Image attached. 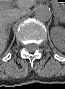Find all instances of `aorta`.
I'll use <instances>...</instances> for the list:
<instances>
[{
	"instance_id": "obj_1",
	"label": "aorta",
	"mask_w": 65,
	"mask_h": 89,
	"mask_svg": "<svg viewBox=\"0 0 65 89\" xmlns=\"http://www.w3.org/2000/svg\"><path fill=\"white\" fill-rule=\"evenodd\" d=\"M34 15L36 19H38L41 22H47L51 19L52 13L51 9L47 5H37L34 8Z\"/></svg>"
}]
</instances>
